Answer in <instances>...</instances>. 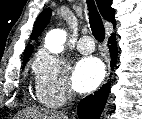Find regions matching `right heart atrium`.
Wrapping results in <instances>:
<instances>
[{
	"label": "right heart atrium",
	"instance_id": "1",
	"mask_svg": "<svg viewBox=\"0 0 142 119\" xmlns=\"http://www.w3.org/2000/svg\"><path fill=\"white\" fill-rule=\"evenodd\" d=\"M36 95L47 107L63 106L72 97L65 61L49 52H40L32 64Z\"/></svg>",
	"mask_w": 142,
	"mask_h": 119
}]
</instances>
